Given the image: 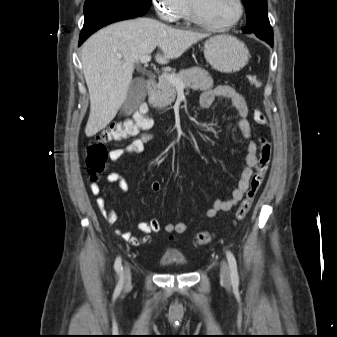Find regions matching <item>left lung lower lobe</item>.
I'll return each mask as SVG.
<instances>
[{
	"instance_id": "0a47b994",
	"label": "left lung lower lobe",
	"mask_w": 337,
	"mask_h": 337,
	"mask_svg": "<svg viewBox=\"0 0 337 337\" xmlns=\"http://www.w3.org/2000/svg\"><path fill=\"white\" fill-rule=\"evenodd\" d=\"M260 39L266 41L271 47H273V39H267L263 37H259Z\"/></svg>"
}]
</instances>
